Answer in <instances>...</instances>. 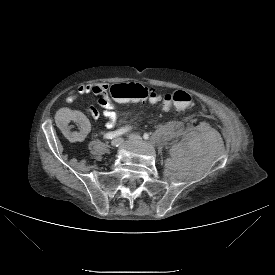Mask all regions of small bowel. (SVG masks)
Here are the masks:
<instances>
[{"mask_svg":"<svg viewBox=\"0 0 275 275\" xmlns=\"http://www.w3.org/2000/svg\"><path fill=\"white\" fill-rule=\"evenodd\" d=\"M111 88V85L105 82L82 84L67 95L66 101L72 103L80 96L86 94L98 96V105L102 110L101 114L106 119L105 127L107 129H113L116 125L117 114L115 111V104L110 96ZM87 113L94 119L100 116V112L94 107H89ZM55 117L54 125L57 132L70 142H80L90 131V124L87 116L80 108L74 107L69 111L64 108L58 109ZM69 119L74 126L69 123Z\"/></svg>","mask_w":275,"mask_h":275,"instance_id":"obj_1","label":"small bowel"}]
</instances>
